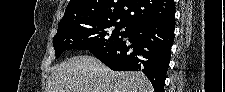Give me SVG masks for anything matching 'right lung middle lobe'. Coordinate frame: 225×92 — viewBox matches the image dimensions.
I'll return each instance as SVG.
<instances>
[{
  "label": "right lung middle lobe",
  "instance_id": "obj_1",
  "mask_svg": "<svg viewBox=\"0 0 225 92\" xmlns=\"http://www.w3.org/2000/svg\"><path fill=\"white\" fill-rule=\"evenodd\" d=\"M122 28H126L124 32L120 31ZM131 28L119 22H75L69 28L57 30L53 38L56 58L68 49L89 50L91 53L107 49L123 41L122 37H127Z\"/></svg>",
  "mask_w": 225,
  "mask_h": 92
}]
</instances>
